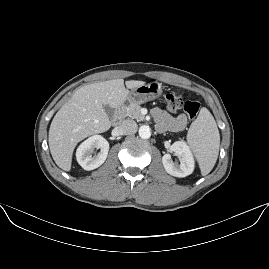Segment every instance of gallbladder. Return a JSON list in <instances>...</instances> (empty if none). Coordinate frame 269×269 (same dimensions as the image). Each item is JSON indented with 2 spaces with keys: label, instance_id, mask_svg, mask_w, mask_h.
<instances>
[{
  "label": "gallbladder",
  "instance_id": "bac80fb5",
  "mask_svg": "<svg viewBox=\"0 0 269 269\" xmlns=\"http://www.w3.org/2000/svg\"><path fill=\"white\" fill-rule=\"evenodd\" d=\"M103 108L109 118L113 117L114 110L109 105H104Z\"/></svg>",
  "mask_w": 269,
  "mask_h": 269
}]
</instances>
